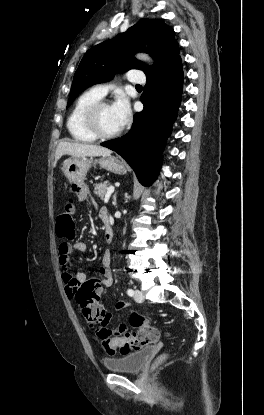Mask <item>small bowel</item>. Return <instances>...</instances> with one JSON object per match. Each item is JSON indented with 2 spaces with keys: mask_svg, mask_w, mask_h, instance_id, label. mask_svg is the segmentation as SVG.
<instances>
[{
  "mask_svg": "<svg viewBox=\"0 0 264 415\" xmlns=\"http://www.w3.org/2000/svg\"><path fill=\"white\" fill-rule=\"evenodd\" d=\"M99 218L102 223H106V219L110 218L107 208L103 207L99 210ZM75 250L78 253H85L88 250V245L84 241H78L74 245ZM72 251V246L70 244H60L58 248V262L63 271V281L65 286L66 296L77 304V292L79 287L89 280H95L98 283L100 293L105 289L109 288L114 283V277L111 270V261L112 257L110 252L105 251L102 256V265L99 268L98 275L89 276L84 272H77L75 275L70 273V254ZM128 305V302L124 299H120L115 304V310L120 311ZM113 317L110 314H107L106 318V328L109 331L107 325L112 322ZM127 329V322L121 321L117 324L115 332L121 334Z\"/></svg>",
  "mask_w": 264,
  "mask_h": 415,
  "instance_id": "small-bowel-1",
  "label": "small bowel"
}]
</instances>
